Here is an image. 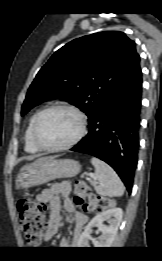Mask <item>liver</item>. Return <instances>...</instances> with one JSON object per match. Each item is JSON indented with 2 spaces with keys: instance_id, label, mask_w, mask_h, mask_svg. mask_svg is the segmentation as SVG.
<instances>
[{
  "instance_id": "liver-1",
  "label": "liver",
  "mask_w": 162,
  "mask_h": 261,
  "mask_svg": "<svg viewBox=\"0 0 162 261\" xmlns=\"http://www.w3.org/2000/svg\"><path fill=\"white\" fill-rule=\"evenodd\" d=\"M40 159H41V158H40ZM40 159L36 160V161L33 162L32 164H27V165H25V166L23 167V169H25V168H29V167L35 165L37 162H39Z\"/></svg>"
}]
</instances>
